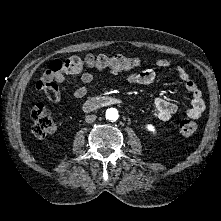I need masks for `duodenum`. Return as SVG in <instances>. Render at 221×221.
I'll return each mask as SVG.
<instances>
[{
	"mask_svg": "<svg viewBox=\"0 0 221 221\" xmlns=\"http://www.w3.org/2000/svg\"><path fill=\"white\" fill-rule=\"evenodd\" d=\"M121 103L122 100L118 97L100 96L87 100L84 104V108L86 111H91L108 105L121 104Z\"/></svg>",
	"mask_w": 221,
	"mask_h": 221,
	"instance_id": "1",
	"label": "duodenum"
}]
</instances>
